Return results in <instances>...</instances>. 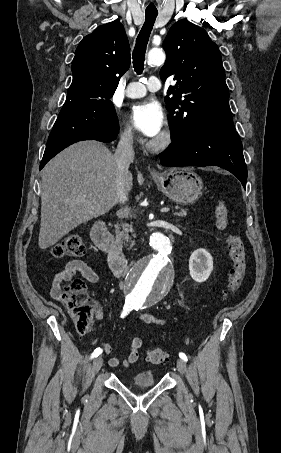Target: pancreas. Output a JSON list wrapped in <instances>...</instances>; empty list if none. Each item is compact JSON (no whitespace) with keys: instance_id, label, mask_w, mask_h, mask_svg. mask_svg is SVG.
<instances>
[{"instance_id":"1","label":"pancreas","mask_w":281,"mask_h":453,"mask_svg":"<svg viewBox=\"0 0 281 453\" xmlns=\"http://www.w3.org/2000/svg\"><path fill=\"white\" fill-rule=\"evenodd\" d=\"M178 216H185L187 214L186 210H181V212H174ZM133 224H128V222H122V224H115V233L116 239H121V241H131L129 233H132L133 237H136L134 229H132Z\"/></svg>"}]
</instances>
